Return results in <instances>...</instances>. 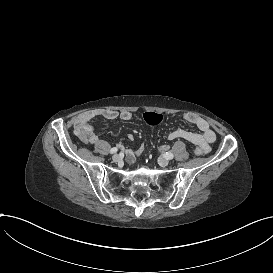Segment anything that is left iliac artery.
<instances>
[{
    "mask_svg": "<svg viewBox=\"0 0 273 273\" xmlns=\"http://www.w3.org/2000/svg\"><path fill=\"white\" fill-rule=\"evenodd\" d=\"M166 157H167L168 159H173L174 155H173V153L168 152L167 155H166Z\"/></svg>",
    "mask_w": 273,
    "mask_h": 273,
    "instance_id": "obj_1",
    "label": "left iliac artery"
}]
</instances>
